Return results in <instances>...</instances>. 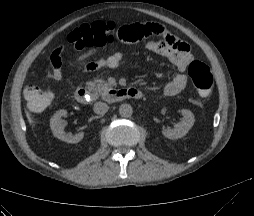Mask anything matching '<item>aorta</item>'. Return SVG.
I'll list each match as a JSON object with an SVG mask.
<instances>
[{"instance_id": "762f6f07", "label": "aorta", "mask_w": 254, "mask_h": 216, "mask_svg": "<svg viewBox=\"0 0 254 216\" xmlns=\"http://www.w3.org/2000/svg\"><path fill=\"white\" fill-rule=\"evenodd\" d=\"M133 108L130 104H122L119 107V114L121 117L128 118L132 115Z\"/></svg>"}]
</instances>
